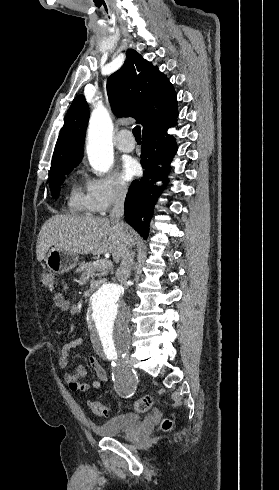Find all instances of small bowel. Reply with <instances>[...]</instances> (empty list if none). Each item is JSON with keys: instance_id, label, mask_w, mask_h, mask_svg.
Masks as SVG:
<instances>
[{"instance_id": "small-bowel-1", "label": "small bowel", "mask_w": 279, "mask_h": 490, "mask_svg": "<svg viewBox=\"0 0 279 490\" xmlns=\"http://www.w3.org/2000/svg\"><path fill=\"white\" fill-rule=\"evenodd\" d=\"M52 307L56 308L60 312H67L71 308V303L69 300L64 298L62 294H55L52 298ZM82 343V338H76L61 347L58 359V363L61 368H67L69 366L71 350L79 347L80 345H82ZM89 365L97 377L96 379L92 380L90 384L80 381L87 374L86 368L84 366H78L73 372H68L64 375V380L66 383L69 384V387L72 391L85 392L89 388L98 389L100 388L102 382L107 381L108 374L95 357L89 358Z\"/></svg>"}]
</instances>
